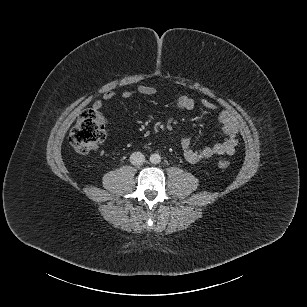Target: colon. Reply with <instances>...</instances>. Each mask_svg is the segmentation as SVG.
<instances>
[{"mask_svg": "<svg viewBox=\"0 0 307 307\" xmlns=\"http://www.w3.org/2000/svg\"><path fill=\"white\" fill-rule=\"evenodd\" d=\"M106 131L104 123L93 109H86L78 118L72 128L69 141L76 153L84 155L95 150L105 139ZM220 168L226 169L230 162L223 158L218 162Z\"/></svg>", "mask_w": 307, "mask_h": 307, "instance_id": "1", "label": "colon"}]
</instances>
